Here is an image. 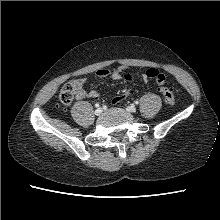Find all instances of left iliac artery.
<instances>
[{
	"label": "left iliac artery",
	"instance_id": "obj_1",
	"mask_svg": "<svg viewBox=\"0 0 220 220\" xmlns=\"http://www.w3.org/2000/svg\"><path fill=\"white\" fill-rule=\"evenodd\" d=\"M135 104H136V105L139 104V101L136 100V101H135Z\"/></svg>",
	"mask_w": 220,
	"mask_h": 220
}]
</instances>
